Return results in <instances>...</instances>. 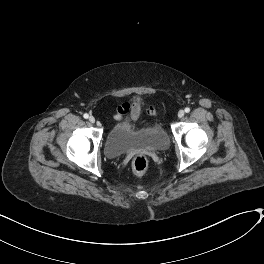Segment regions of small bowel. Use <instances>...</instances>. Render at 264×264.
I'll use <instances>...</instances> for the list:
<instances>
[{
    "label": "small bowel",
    "instance_id": "c3829d8e",
    "mask_svg": "<svg viewBox=\"0 0 264 264\" xmlns=\"http://www.w3.org/2000/svg\"><path fill=\"white\" fill-rule=\"evenodd\" d=\"M142 104L140 101L133 103H125L121 106L120 112L115 115V118L121 123L134 124L141 113Z\"/></svg>",
    "mask_w": 264,
    "mask_h": 264
}]
</instances>
